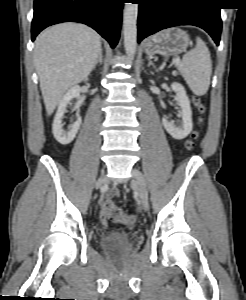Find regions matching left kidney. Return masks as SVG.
Wrapping results in <instances>:
<instances>
[{
    "label": "left kidney",
    "mask_w": 246,
    "mask_h": 300,
    "mask_svg": "<svg viewBox=\"0 0 246 300\" xmlns=\"http://www.w3.org/2000/svg\"><path fill=\"white\" fill-rule=\"evenodd\" d=\"M172 90L176 93V98L181 107L180 116L182 121L179 126H176L174 121H169L167 117L162 118V124L166 131L176 140L186 138L193 129L192 110L189 98L185 88L180 83L174 82L171 84Z\"/></svg>",
    "instance_id": "1"
}]
</instances>
